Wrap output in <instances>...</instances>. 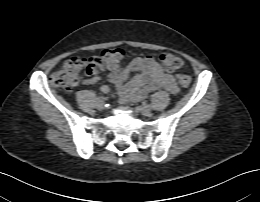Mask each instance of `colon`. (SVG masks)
Returning a JSON list of instances; mask_svg holds the SVG:
<instances>
[{
  "label": "colon",
  "mask_w": 260,
  "mask_h": 202,
  "mask_svg": "<svg viewBox=\"0 0 260 202\" xmlns=\"http://www.w3.org/2000/svg\"><path fill=\"white\" fill-rule=\"evenodd\" d=\"M125 56L124 50L120 48L107 49L103 51L100 58L89 56H78L67 60L62 67L52 74L50 82L54 87L66 91L72 90L79 82L82 73L89 74L106 66L108 68L118 67ZM160 65L168 71H176L183 67V60L171 53L164 52L159 56ZM176 79L183 87L191 84V77L186 74H178Z\"/></svg>",
  "instance_id": "5ec220e1"
}]
</instances>
